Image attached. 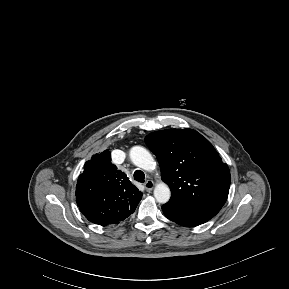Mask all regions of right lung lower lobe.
Here are the masks:
<instances>
[{
  "mask_svg": "<svg viewBox=\"0 0 289 289\" xmlns=\"http://www.w3.org/2000/svg\"><path fill=\"white\" fill-rule=\"evenodd\" d=\"M130 214H131V213H130ZM130 214H129V215H130ZM129 215H128V216H129ZM128 216H126L125 218H127ZM125 218H123V219H125ZM123 219H122V220H123ZM120 221H121V220H120ZM116 223L118 224V223H119V221H118V222H116ZM112 224H115V223H112ZM107 225H108V224H107ZM101 226H102V225H101ZM105 226H106V225H105Z\"/></svg>",
  "mask_w": 289,
  "mask_h": 289,
  "instance_id": "98d812e1",
  "label": "right lung lower lobe"
}]
</instances>
